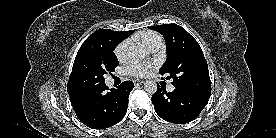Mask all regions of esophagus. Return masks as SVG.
<instances>
[{"mask_svg": "<svg viewBox=\"0 0 276 138\" xmlns=\"http://www.w3.org/2000/svg\"><path fill=\"white\" fill-rule=\"evenodd\" d=\"M133 82H134L135 85H141V84L144 83L143 80H139V79H135Z\"/></svg>", "mask_w": 276, "mask_h": 138, "instance_id": "1", "label": "esophagus"}]
</instances>
